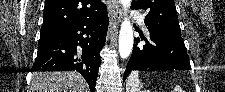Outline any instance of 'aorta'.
Here are the masks:
<instances>
[{
    "label": "aorta",
    "mask_w": 225,
    "mask_h": 92,
    "mask_svg": "<svg viewBox=\"0 0 225 92\" xmlns=\"http://www.w3.org/2000/svg\"><path fill=\"white\" fill-rule=\"evenodd\" d=\"M121 4L124 7V10H127L131 1L130 0H120ZM133 30L131 23L127 17L124 18L122 22L120 33H119V54L122 59L127 58L132 52L133 48Z\"/></svg>",
    "instance_id": "762f6f07"
}]
</instances>
